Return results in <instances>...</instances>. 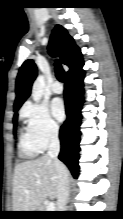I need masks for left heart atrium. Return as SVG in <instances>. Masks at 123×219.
I'll return each mask as SVG.
<instances>
[{
	"label": "left heart atrium",
	"mask_w": 123,
	"mask_h": 219,
	"mask_svg": "<svg viewBox=\"0 0 123 219\" xmlns=\"http://www.w3.org/2000/svg\"><path fill=\"white\" fill-rule=\"evenodd\" d=\"M51 110L53 113V116L57 119V120H63L65 117V108H64V104L62 102L61 99H54L51 103Z\"/></svg>",
	"instance_id": "obj_1"
}]
</instances>
